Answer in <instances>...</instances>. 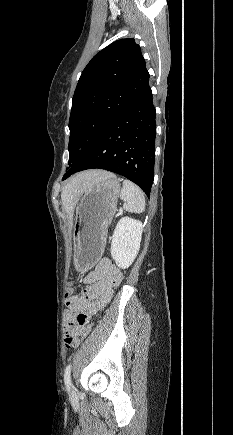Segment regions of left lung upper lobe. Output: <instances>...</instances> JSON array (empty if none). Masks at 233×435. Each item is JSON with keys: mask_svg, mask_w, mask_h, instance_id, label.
<instances>
[{"mask_svg": "<svg viewBox=\"0 0 233 435\" xmlns=\"http://www.w3.org/2000/svg\"><path fill=\"white\" fill-rule=\"evenodd\" d=\"M149 86L140 46L120 39L98 52L83 70L69 119V165L80 163L109 125Z\"/></svg>", "mask_w": 233, "mask_h": 435, "instance_id": "obj_1", "label": "left lung upper lobe"}]
</instances>
